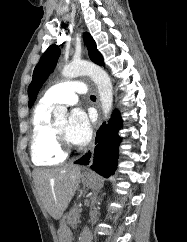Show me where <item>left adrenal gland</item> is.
Listing matches in <instances>:
<instances>
[{
    "label": "left adrenal gland",
    "mask_w": 187,
    "mask_h": 242,
    "mask_svg": "<svg viewBox=\"0 0 187 242\" xmlns=\"http://www.w3.org/2000/svg\"><path fill=\"white\" fill-rule=\"evenodd\" d=\"M98 192H95L92 197H91V207H94V205L96 204V202L98 201Z\"/></svg>",
    "instance_id": "1"
}]
</instances>
